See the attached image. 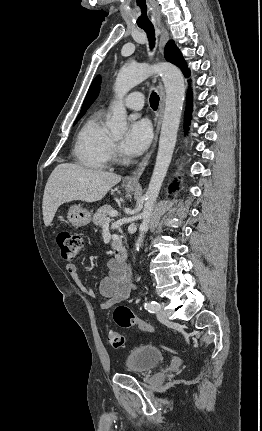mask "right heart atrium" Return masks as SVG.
<instances>
[{
	"mask_svg": "<svg viewBox=\"0 0 262 431\" xmlns=\"http://www.w3.org/2000/svg\"><path fill=\"white\" fill-rule=\"evenodd\" d=\"M116 151L115 145L112 143L110 147V154H113Z\"/></svg>",
	"mask_w": 262,
	"mask_h": 431,
	"instance_id": "d8ad5b80",
	"label": "right heart atrium"
}]
</instances>
